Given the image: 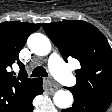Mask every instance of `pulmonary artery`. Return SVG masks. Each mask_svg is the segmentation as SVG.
<instances>
[{
	"mask_svg": "<svg viewBox=\"0 0 112 112\" xmlns=\"http://www.w3.org/2000/svg\"><path fill=\"white\" fill-rule=\"evenodd\" d=\"M49 68L52 74L63 84L72 86L75 79L66 65L61 61L57 53H52L49 57Z\"/></svg>",
	"mask_w": 112,
	"mask_h": 112,
	"instance_id": "pulmonary-artery-1",
	"label": "pulmonary artery"
}]
</instances>
